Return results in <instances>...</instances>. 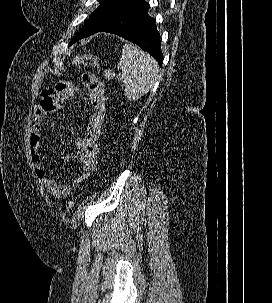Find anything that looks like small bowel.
<instances>
[{
  "label": "small bowel",
  "mask_w": 272,
  "mask_h": 303,
  "mask_svg": "<svg viewBox=\"0 0 272 303\" xmlns=\"http://www.w3.org/2000/svg\"><path fill=\"white\" fill-rule=\"evenodd\" d=\"M87 92L89 112L86 121L85 134L75 141L76 152L63 155L64 161L78 160L80 168L77 174L68 182L60 183L49 177L43 166L42 146V121L47 114L61 108V100H72L78 90ZM104 83L94 74L85 73L81 85L60 81L56 85L42 91L41 97L34 108L29 133L30 156L35 175L41 185L56 199L62 200L69 196L72 189L79 183L87 180L97 168V154L100 148V137L103 130L106 114V96Z\"/></svg>",
  "instance_id": "1"
}]
</instances>
